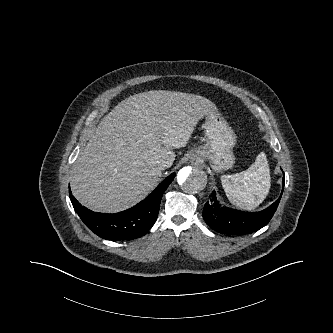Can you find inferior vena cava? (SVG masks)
Returning a JSON list of instances; mask_svg holds the SVG:
<instances>
[{"label": "inferior vena cava", "mask_w": 333, "mask_h": 333, "mask_svg": "<svg viewBox=\"0 0 333 333\" xmlns=\"http://www.w3.org/2000/svg\"><path fill=\"white\" fill-rule=\"evenodd\" d=\"M168 166L169 165H168V163L165 160H159V161H157V167L160 170L166 169V168H168Z\"/></svg>", "instance_id": "inferior-vena-cava-1"}]
</instances>
